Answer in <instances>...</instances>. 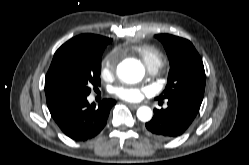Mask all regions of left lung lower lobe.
Masks as SVG:
<instances>
[{
    "mask_svg": "<svg viewBox=\"0 0 249 165\" xmlns=\"http://www.w3.org/2000/svg\"><path fill=\"white\" fill-rule=\"evenodd\" d=\"M157 100L159 104L163 103V100ZM201 103L186 97L167 99L168 107L161 110L154 109V116L146 123V128L159 139L168 140L180 136L193 122Z\"/></svg>",
    "mask_w": 249,
    "mask_h": 165,
    "instance_id": "1",
    "label": "left lung lower lobe"
}]
</instances>
